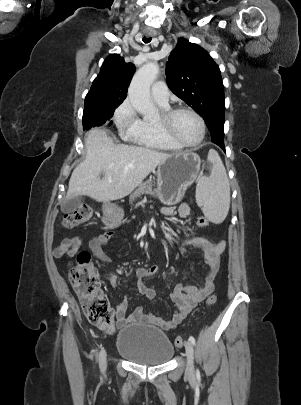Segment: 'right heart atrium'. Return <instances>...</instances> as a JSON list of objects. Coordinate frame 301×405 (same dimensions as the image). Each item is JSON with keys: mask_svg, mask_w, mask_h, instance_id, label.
Segmentation results:
<instances>
[{"mask_svg": "<svg viewBox=\"0 0 301 405\" xmlns=\"http://www.w3.org/2000/svg\"><path fill=\"white\" fill-rule=\"evenodd\" d=\"M115 123L123 134H128L139 121L137 113L129 99H125L114 112Z\"/></svg>", "mask_w": 301, "mask_h": 405, "instance_id": "1", "label": "right heart atrium"}]
</instances>
